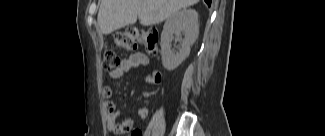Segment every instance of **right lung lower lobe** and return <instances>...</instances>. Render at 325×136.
Returning <instances> with one entry per match:
<instances>
[{"mask_svg":"<svg viewBox=\"0 0 325 136\" xmlns=\"http://www.w3.org/2000/svg\"><path fill=\"white\" fill-rule=\"evenodd\" d=\"M205 2L208 4V6L211 5V0H205Z\"/></svg>","mask_w":325,"mask_h":136,"instance_id":"98d812e1","label":"right lung lower lobe"}]
</instances>
